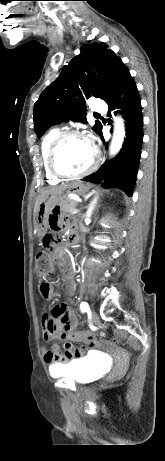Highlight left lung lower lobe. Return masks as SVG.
<instances>
[{"mask_svg":"<svg viewBox=\"0 0 165 461\" xmlns=\"http://www.w3.org/2000/svg\"><path fill=\"white\" fill-rule=\"evenodd\" d=\"M105 102L110 110L121 109L119 112L126 121V138L123 148L115 158L82 180L92 183L103 181V187L120 188L126 195L132 196L143 142V115L139 93L128 69L121 74ZM98 134L104 141L102 129Z\"/></svg>","mask_w":165,"mask_h":461,"instance_id":"1","label":"left lung lower lobe"}]
</instances>
